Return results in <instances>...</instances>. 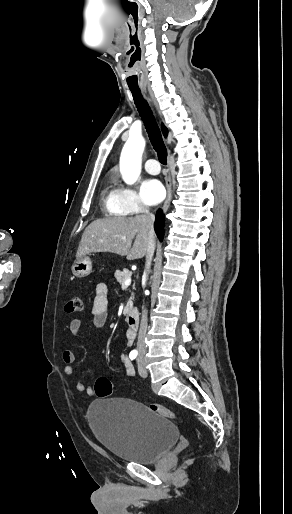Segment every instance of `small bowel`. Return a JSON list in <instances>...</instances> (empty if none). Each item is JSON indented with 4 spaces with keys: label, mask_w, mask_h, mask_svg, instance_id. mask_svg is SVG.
<instances>
[{
    "label": "small bowel",
    "mask_w": 292,
    "mask_h": 514,
    "mask_svg": "<svg viewBox=\"0 0 292 514\" xmlns=\"http://www.w3.org/2000/svg\"><path fill=\"white\" fill-rule=\"evenodd\" d=\"M108 318V286L104 282H99L95 287V296L90 308V317L85 320L80 318L72 319L69 324V329L73 335H79L84 324L91 325L95 328H101L106 324ZM62 359L66 364L64 368L65 374L68 376L74 375L75 368L73 364L76 361L75 353L71 349H65L62 354ZM121 363L126 376L133 377L135 375V369L127 356L122 355ZM75 389L78 392H86L90 396L94 394V388L92 386H86L83 381H77L75 383Z\"/></svg>",
    "instance_id": "small-bowel-1"
}]
</instances>
